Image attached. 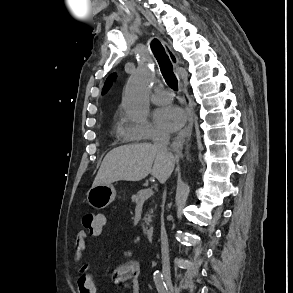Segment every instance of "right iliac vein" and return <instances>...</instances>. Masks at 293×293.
I'll list each match as a JSON object with an SVG mask.
<instances>
[{"label": "right iliac vein", "instance_id": "obj_1", "mask_svg": "<svg viewBox=\"0 0 293 293\" xmlns=\"http://www.w3.org/2000/svg\"><path fill=\"white\" fill-rule=\"evenodd\" d=\"M165 280H166V283L170 289V293H173V287H172V284H171V280H170V276L169 275H165Z\"/></svg>", "mask_w": 293, "mask_h": 293}]
</instances>
